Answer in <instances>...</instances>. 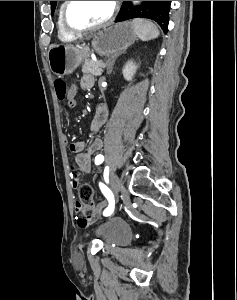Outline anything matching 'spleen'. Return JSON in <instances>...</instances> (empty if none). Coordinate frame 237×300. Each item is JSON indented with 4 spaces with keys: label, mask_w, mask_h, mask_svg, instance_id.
<instances>
[{
    "label": "spleen",
    "mask_w": 237,
    "mask_h": 300,
    "mask_svg": "<svg viewBox=\"0 0 237 300\" xmlns=\"http://www.w3.org/2000/svg\"><path fill=\"white\" fill-rule=\"evenodd\" d=\"M132 25L137 37L141 41H151V39H157L160 35L157 25L148 21V19H134Z\"/></svg>",
    "instance_id": "obj_1"
}]
</instances>
